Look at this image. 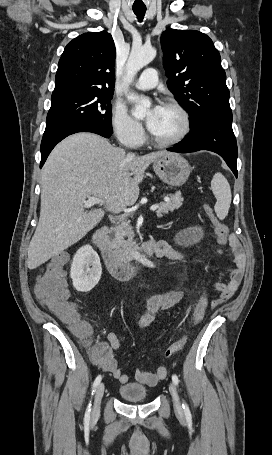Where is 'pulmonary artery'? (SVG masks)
<instances>
[{"label":"pulmonary artery","mask_w":272,"mask_h":455,"mask_svg":"<svg viewBox=\"0 0 272 455\" xmlns=\"http://www.w3.org/2000/svg\"><path fill=\"white\" fill-rule=\"evenodd\" d=\"M157 82V71L154 68H147L135 82V87L141 90H148L154 88Z\"/></svg>","instance_id":"1"}]
</instances>
